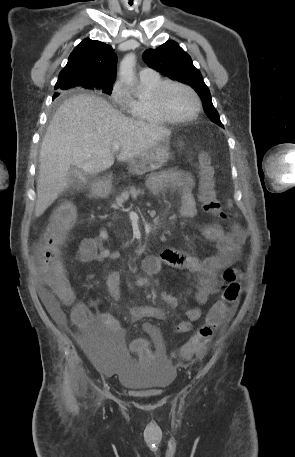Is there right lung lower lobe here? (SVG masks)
I'll use <instances>...</instances> for the list:
<instances>
[{
  "label": "right lung lower lobe",
  "mask_w": 295,
  "mask_h": 457,
  "mask_svg": "<svg viewBox=\"0 0 295 457\" xmlns=\"http://www.w3.org/2000/svg\"><path fill=\"white\" fill-rule=\"evenodd\" d=\"M57 95H58V94H55V95L53 96V99H54L55 97H57Z\"/></svg>",
  "instance_id": "98d812e1"
}]
</instances>
